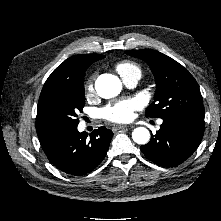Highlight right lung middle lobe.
Returning <instances> with one entry per match:
<instances>
[{
    "label": "right lung middle lobe",
    "instance_id": "obj_1",
    "mask_svg": "<svg viewBox=\"0 0 221 221\" xmlns=\"http://www.w3.org/2000/svg\"><path fill=\"white\" fill-rule=\"evenodd\" d=\"M83 82L64 80L44 84L36 117L39 139L77 128V113L85 105Z\"/></svg>",
    "mask_w": 221,
    "mask_h": 221
}]
</instances>
